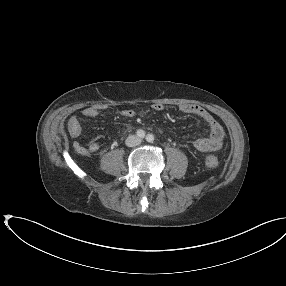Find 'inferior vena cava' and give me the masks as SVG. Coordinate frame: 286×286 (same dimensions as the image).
<instances>
[{
	"mask_svg": "<svg viewBox=\"0 0 286 286\" xmlns=\"http://www.w3.org/2000/svg\"><path fill=\"white\" fill-rule=\"evenodd\" d=\"M133 139H134V142L132 144L128 143L129 146H135V145L139 144V139L136 136H133Z\"/></svg>",
	"mask_w": 286,
	"mask_h": 286,
	"instance_id": "1",
	"label": "inferior vena cava"
}]
</instances>
